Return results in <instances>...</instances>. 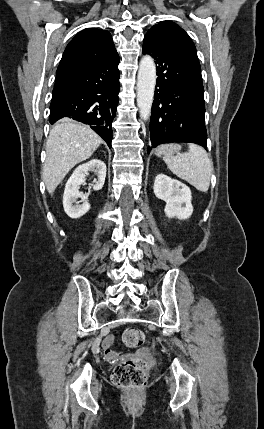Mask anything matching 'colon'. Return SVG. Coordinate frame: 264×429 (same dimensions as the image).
Instances as JSON below:
<instances>
[{
  "instance_id": "1",
  "label": "colon",
  "mask_w": 264,
  "mask_h": 429,
  "mask_svg": "<svg viewBox=\"0 0 264 429\" xmlns=\"http://www.w3.org/2000/svg\"><path fill=\"white\" fill-rule=\"evenodd\" d=\"M123 342L129 348L140 347L145 340L144 333L137 327H129L123 333ZM148 364L143 355H134L118 363L112 372V382L123 389L139 390L147 381Z\"/></svg>"
}]
</instances>
